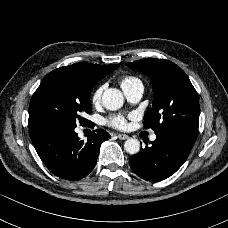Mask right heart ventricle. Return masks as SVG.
<instances>
[{"mask_svg": "<svg viewBox=\"0 0 228 228\" xmlns=\"http://www.w3.org/2000/svg\"><path fill=\"white\" fill-rule=\"evenodd\" d=\"M139 81H141V80L139 78H137L136 76H133V75H123L119 79V82H120L122 89L130 87Z\"/></svg>", "mask_w": 228, "mask_h": 228, "instance_id": "obj_1", "label": "right heart ventricle"}]
</instances>
